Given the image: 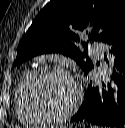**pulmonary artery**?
Returning a JSON list of instances; mask_svg holds the SVG:
<instances>
[{"instance_id": "e3ab8cb5", "label": "pulmonary artery", "mask_w": 125, "mask_h": 128, "mask_svg": "<svg viewBox=\"0 0 125 128\" xmlns=\"http://www.w3.org/2000/svg\"><path fill=\"white\" fill-rule=\"evenodd\" d=\"M93 46H94V48H95V54H96L97 56H102L103 51H102V49L100 48V44H99L98 42H94V43H93Z\"/></svg>"}]
</instances>
